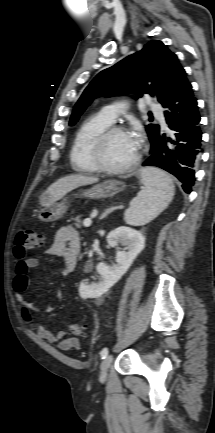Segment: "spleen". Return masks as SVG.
Listing matches in <instances>:
<instances>
[{"label": "spleen", "instance_id": "obj_1", "mask_svg": "<svg viewBox=\"0 0 215 433\" xmlns=\"http://www.w3.org/2000/svg\"><path fill=\"white\" fill-rule=\"evenodd\" d=\"M141 182L144 189L124 213L125 222L133 226L145 225L157 217L169 205L175 191L170 176L154 167L141 170Z\"/></svg>", "mask_w": 215, "mask_h": 433}]
</instances>
